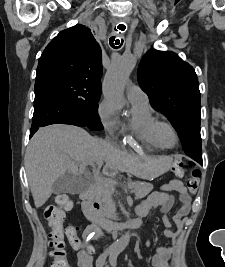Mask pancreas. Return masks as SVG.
I'll return each instance as SVG.
<instances>
[{"label":"pancreas","instance_id":"pancreas-1","mask_svg":"<svg viewBox=\"0 0 225 267\" xmlns=\"http://www.w3.org/2000/svg\"><path fill=\"white\" fill-rule=\"evenodd\" d=\"M152 189L153 185L149 183L141 185L140 183L135 182L131 185V192L135 194L136 199L144 198L152 191ZM95 192L103 198L105 203L103 214L105 216H110L112 210V202L110 199L111 188L106 183H100L95 187Z\"/></svg>","mask_w":225,"mask_h":267}]
</instances>
